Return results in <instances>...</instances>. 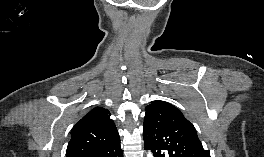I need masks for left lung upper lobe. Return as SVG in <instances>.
I'll list each match as a JSON object with an SVG mask.
<instances>
[{"label":"left lung upper lobe","mask_w":264,"mask_h":157,"mask_svg":"<svg viewBox=\"0 0 264 157\" xmlns=\"http://www.w3.org/2000/svg\"><path fill=\"white\" fill-rule=\"evenodd\" d=\"M143 139L145 148L157 157H211L203 149L193 124L164 101L146 106Z\"/></svg>","instance_id":"obj_1"}]
</instances>
